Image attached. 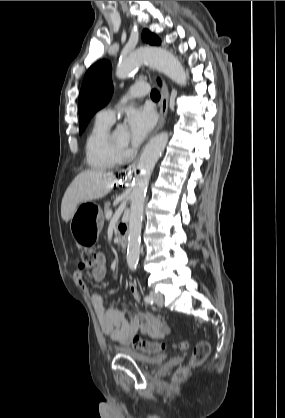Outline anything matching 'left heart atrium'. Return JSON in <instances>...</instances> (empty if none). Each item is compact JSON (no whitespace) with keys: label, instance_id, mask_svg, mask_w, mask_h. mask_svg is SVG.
<instances>
[{"label":"left heart atrium","instance_id":"1","mask_svg":"<svg viewBox=\"0 0 285 418\" xmlns=\"http://www.w3.org/2000/svg\"><path fill=\"white\" fill-rule=\"evenodd\" d=\"M129 142L140 144L152 131L156 118L154 112L147 107L132 108L127 114Z\"/></svg>","mask_w":285,"mask_h":418}]
</instances>
